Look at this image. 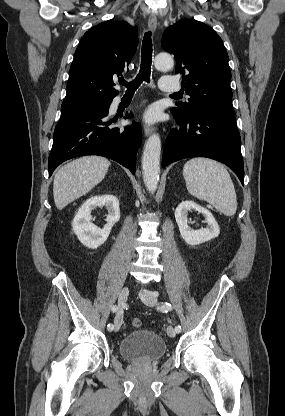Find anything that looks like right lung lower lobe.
<instances>
[{
	"label": "right lung lower lobe",
	"instance_id": "right-lung-lower-lobe-1",
	"mask_svg": "<svg viewBox=\"0 0 285 416\" xmlns=\"http://www.w3.org/2000/svg\"><path fill=\"white\" fill-rule=\"evenodd\" d=\"M108 112L109 108L61 115L49 155V177L62 162L84 155L113 159L135 173L141 128L136 123L124 130L108 127L114 122L107 120Z\"/></svg>",
	"mask_w": 285,
	"mask_h": 416
}]
</instances>
